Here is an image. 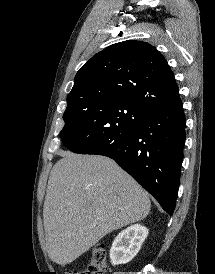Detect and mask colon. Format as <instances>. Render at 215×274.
Instances as JSON below:
<instances>
[{
  "mask_svg": "<svg viewBox=\"0 0 215 274\" xmlns=\"http://www.w3.org/2000/svg\"><path fill=\"white\" fill-rule=\"evenodd\" d=\"M108 271L106 249L104 245H97L91 252L87 270L83 272H69L68 274H106Z\"/></svg>",
  "mask_w": 215,
  "mask_h": 274,
  "instance_id": "obj_1",
  "label": "colon"
}]
</instances>
